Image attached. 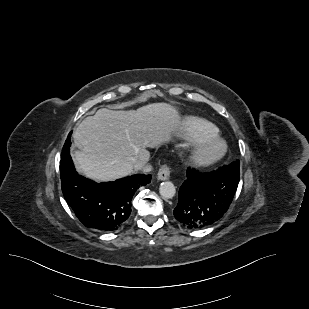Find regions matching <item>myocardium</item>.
I'll list each match as a JSON object with an SVG mask.
<instances>
[{"instance_id": "1", "label": "myocardium", "mask_w": 309, "mask_h": 309, "mask_svg": "<svg viewBox=\"0 0 309 309\" xmlns=\"http://www.w3.org/2000/svg\"><path fill=\"white\" fill-rule=\"evenodd\" d=\"M227 151L226 143L216 137H206L197 140L191 147L187 160L197 168L210 166L220 160Z\"/></svg>"}]
</instances>
